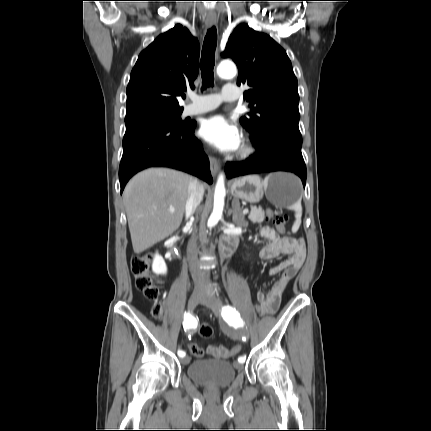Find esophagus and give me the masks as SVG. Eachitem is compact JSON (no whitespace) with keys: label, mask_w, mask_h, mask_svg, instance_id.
<instances>
[{"label":"esophagus","mask_w":431,"mask_h":431,"mask_svg":"<svg viewBox=\"0 0 431 431\" xmlns=\"http://www.w3.org/2000/svg\"><path fill=\"white\" fill-rule=\"evenodd\" d=\"M217 24V19L216 17H208L207 19V25L209 27L215 26ZM209 161H210V170L213 176H216L218 169H219V163L217 161L216 158L214 157H209Z\"/></svg>","instance_id":"obj_1"}]
</instances>
